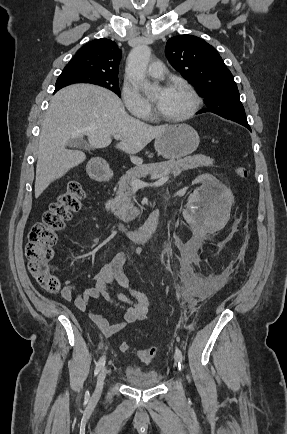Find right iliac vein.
Here are the masks:
<instances>
[{
  "mask_svg": "<svg viewBox=\"0 0 287 434\" xmlns=\"http://www.w3.org/2000/svg\"><path fill=\"white\" fill-rule=\"evenodd\" d=\"M107 372H108L107 368L104 367V368H102V370L100 371V373H99V375L97 377L96 387H95V390H94V393H93V398L94 399L99 398L100 395H101V393H102L103 386H104V381H105Z\"/></svg>",
  "mask_w": 287,
  "mask_h": 434,
  "instance_id": "63e3f726",
  "label": "right iliac vein"
}]
</instances>
